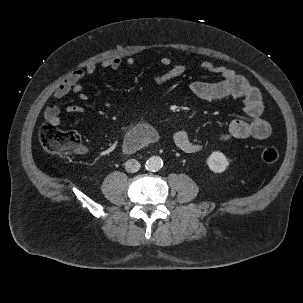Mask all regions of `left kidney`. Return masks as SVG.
Listing matches in <instances>:
<instances>
[{
  "mask_svg": "<svg viewBox=\"0 0 303 303\" xmlns=\"http://www.w3.org/2000/svg\"><path fill=\"white\" fill-rule=\"evenodd\" d=\"M207 164L211 171L215 173H222L229 166L226 156L219 151L212 152L207 160Z\"/></svg>",
  "mask_w": 303,
  "mask_h": 303,
  "instance_id": "5707ae66",
  "label": "left kidney"
}]
</instances>
